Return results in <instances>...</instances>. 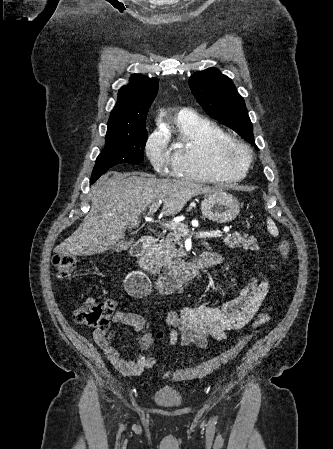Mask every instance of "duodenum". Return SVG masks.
<instances>
[{
	"label": "duodenum",
	"mask_w": 333,
	"mask_h": 449,
	"mask_svg": "<svg viewBox=\"0 0 333 449\" xmlns=\"http://www.w3.org/2000/svg\"><path fill=\"white\" fill-rule=\"evenodd\" d=\"M156 245L157 240L154 237H143L132 246L131 255L137 258L140 266L153 277L156 289L161 293L174 292L213 263L212 254L204 252L173 271L161 273L153 259Z\"/></svg>",
	"instance_id": "1"
}]
</instances>
